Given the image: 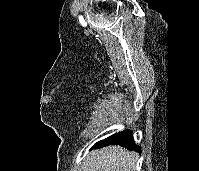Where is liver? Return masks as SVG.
Instances as JSON below:
<instances>
[{
	"mask_svg": "<svg viewBox=\"0 0 199 171\" xmlns=\"http://www.w3.org/2000/svg\"><path fill=\"white\" fill-rule=\"evenodd\" d=\"M138 155L119 146H109L90 152L81 171H134Z\"/></svg>",
	"mask_w": 199,
	"mask_h": 171,
	"instance_id": "6515ba94",
	"label": "liver"
}]
</instances>
